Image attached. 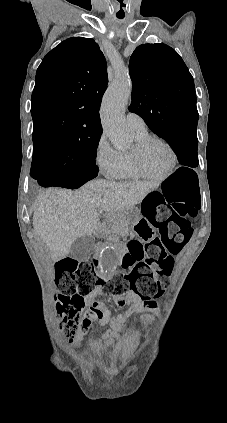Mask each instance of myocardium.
I'll list each match as a JSON object with an SVG mask.
<instances>
[{"mask_svg":"<svg viewBox=\"0 0 227 423\" xmlns=\"http://www.w3.org/2000/svg\"><path fill=\"white\" fill-rule=\"evenodd\" d=\"M153 142H159L162 144L170 154V164L165 172L161 174H152L150 173L143 164L142 156L143 152L148 145ZM130 157L132 161V166L135 174L141 178L152 180V181H161L168 177H170L178 164V155L174 149V147L163 137L158 135H147L144 138L138 140L133 148L130 151Z\"/></svg>","mask_w":227,"mask_h":423,"instance_id":"obj_1","label":"myocardium"}]
</instances>
